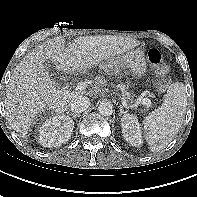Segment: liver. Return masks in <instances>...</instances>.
I'll return each instance as SVG.
<instances>
[{"instance_id": "obj_1", "label": "liver", "mask_w": 197, "mask_h": 197, "mask_svg": "<svg viewBox=\"0 0 197 197\" xmlns=\"http://www.w3.org/2000/svg\"><path fill=\"white\" fill-rule=\"evenodd\" d=\"M139 44L140 41L128 37L98 35L78 37L67 48L60 37L38 46L16 66L7 85L5 114L9 125L19 137H25L34 117L45 109L62 114L74 97L91 96L90 92L56 89L45 70L46 61H53L66 73L86 72Z\"/></svg>"}]
</instances>
